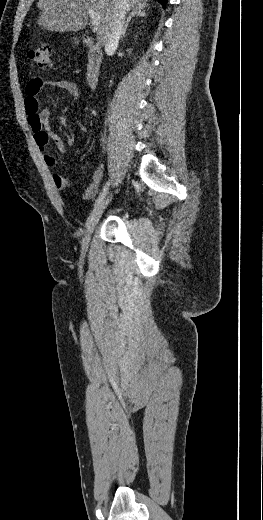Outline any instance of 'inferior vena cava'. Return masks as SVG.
<instances>
[{
	"label": "inferior vena cava",
	"mask_w": 263,
	"mask_h": 520,
	"mask_svg": "<svg viewBox=\"0 0 263 520\" xmlns=\"http://www.w3.org/2000/svg\"><path fill=\"white\" fill-rule=\"evenodd\" d=\"M129 9V1L128 0H116V5L114 9L113 22L110 28V32L107 36V40L105 42V51L109 53L110 51L116 50L119 39L121 38L123 25L125 22V17Z\"/></svg>",
	"instance_id": "inferior-vena-cava-1"
}]
</instances>
